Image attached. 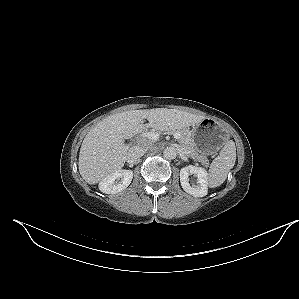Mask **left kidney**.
<instances>
[{
	"label": "left kidney",
	"instance_id": "obj_1",
	"mask_svg": "<svg viewBox=\"0 0 299 299\" xmlns=\"http://www.w3.org/2000/svg\"><path fill=\"white\" fill-rule=\"evenodd\" d=\"M189 175L197 176V185H190ZM180 183L185 192L194 197H204L208 192V173L202 167L189 165L180 170Z\"/></svg>",
	"mask_w": 299,
	"mask_h": 299
}]
</instances>
